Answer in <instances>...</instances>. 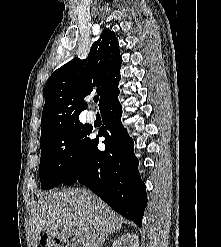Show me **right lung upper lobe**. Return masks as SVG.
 Returning a JSON list of instances; mask_svg holds the SVG:
<instances>
[{
  "instance_id": "cb5924a9",
  "label": "right lung upper lobe",
  "mask_w": 221,
  "mask_h": 247,
  "mask_svg": "<svg viewBox=\"0 0 221 247\" xmlns=\"http://www.w3.org/2000/svg\"><path fill=\"white\" fill-rule=\"evenodd\" d=\"M121 63L118 39L113 32L104 30L85 60L74 58L53 72L45 87L41 137L79 122L80 113L87 108L84 97L95 87L100 110L115 99Z\"/></svg>"
}]
</instances>
